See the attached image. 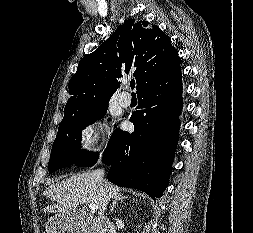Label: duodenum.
<instances>
[{
  "label": "duodenum",
  "mask_w": 253,
  "mask_h": 233,
  "mask_svg": "<svg viewBox=\"0 0 253 233\" xmlns=\"http://www.w3.org/2000/svg\"><path fill=\"white\" fill-rule=\"evenodd\" d=\"M109 230H111V225L103 221L86 225L87 233H109Z\"/></svg>",
  "instance_id": "1"
}]
</instances>
